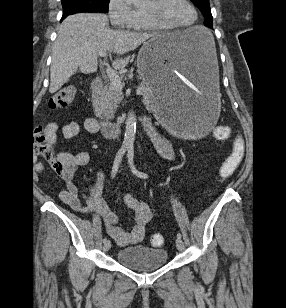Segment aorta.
I'll list each match as a JSON object with an SVG mask.
<instances>
[{"mask_svg": "<svg viewBox=\"0 0 286 308\" xmlns=\"http://www.w3.org/2000/svg\"><path fill=\"white\" fill-rule=\"evenodd\" d=\"M126 1L133 4H140L142 2H145L146 0H126ZM135 135H136V117L133 111H129L125 122V136L123 142L126 147H133Z\"/></svg>", "mask_w": 286, "mask_h": 308, "instance_id": "aorta-1", "label": "aorta"}]
</instances>
